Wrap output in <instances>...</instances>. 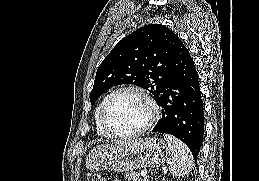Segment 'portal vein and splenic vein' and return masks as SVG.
I'll return each mask as SVG.
<instances>
[{
	"mask_svg": "<svg viewBox=\"0 0 259 181\" xmlns=\"http://www.w3.org/2000/svg\"><path fill=\"white\" fill-rule=\"evenodd\" d=\"M146 175H147V171L142 170V171H141V176L145 177Z\"/></svg>",
	"mask_w": 259,
	"mask_h": 181,
	"instance_id": "portal-vein-and-splenic-vein-1",
	"label": "portal vein and splenic vein"
}]
</instances>
